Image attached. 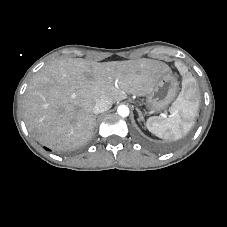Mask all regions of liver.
<instances>
[{
  "label": "liver",
  "mask_w": 227,
  "mask_h": 227,
  "mask_svg": "<svg viewBox=\"0 0 227 227\" xmlns=\"http://www.w3.org/2000/svg\"><path fill=\"white\" fill-rule=\"evenodd\" d=\"M168 73V65L151 59L104 63L55 60L35 74L24 93L27 128L51 149L80 148L93 135V108L99 98L107 96L118 102L127 94L145 96Z\"/></svg>",
  "instance_id": "liver-1"
}]
</instances>
